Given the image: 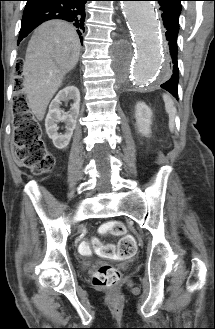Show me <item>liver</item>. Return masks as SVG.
Masks as SVG:
<instances>
[{"mask_svg": "<svg viewBox=\"0 0 215 329\" xmlns=\"http://www.w3.org/2000/svg\"><path fill=\"white\" fill-rule=\"evenodd\" d=\"M80 40L76 29L62 20L40 25L33 33L23 65L27 103L41 121L64 76L77 64Z\"/></svg>", "mask_w": 215, "mask_h": 329, "instance_id": "liver-1", "label": "liver"}]
</instances>
